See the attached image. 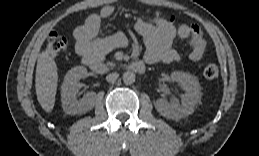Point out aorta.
<instances>
[{
  "mask_svg": "<svg viewBox=\"0 0 259 156\" xmlns=\"http://www.w3.org/2000/svg\"><path fill=\"white\" fill-rule=\"evenodd\" d=\"M136 80L135 73L132 71H126L123 74V81L125 84L130 85L133 84Z\"/></svg>",
  "mask_w": 259,
  "mask_h": 156,
  "instance_id": "1",
  "label": "aorta"
}]
</instances>
